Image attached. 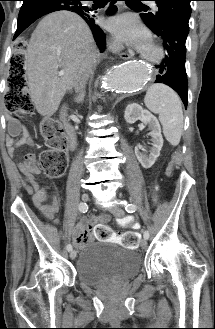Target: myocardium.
Returning <instances> with one entry per match:
<instances>
[{
	"mask_svg": "<svg viewBox=\"0 0 215 329\" xmlns=\"http://www.w3.org/2000/svg\"><path fill=\"white\" fill-rule=\"evenodd\" d=\"M141 56L146 62L158 64L163 60L165 51L160 45L153 44Z\"/></svg>",
	"mask_w": 215,
	"mask_h": 329,
	"instance_id": "obj_1",
	"label": "myocardium"
}]
</instances>
